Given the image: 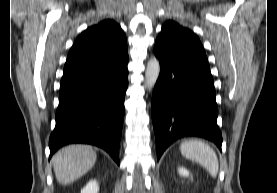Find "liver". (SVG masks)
<instances>
[{
  "mask_svg": "<svg viewBox=\"0 0 277 193\" xmlns=\"http://www.w3.org/2000/svg\"><path fill=\"white\" fill-rule=\"evenodd\" d=\"M96 152L91 146L69 145L52 158L57 181L67 185L86 174L96 162Z\"/></svg>",
  "mask_w": 277,
  "mask_h": 193,
  "instance_id": "1",
  "label": "liver"
}]
</instances>
